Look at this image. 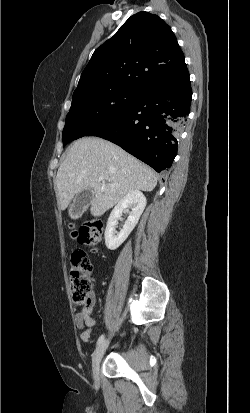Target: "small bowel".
Instances as JSON below:
<instances>
[{
    "label": "small bowel",
    "mask_w": 250,
    "mask_h": 413,
    "mask_svg": "<svg viewBox=\"0 0 250 413\" xmlns=\"http://www.w3.org/2000/svg\"><path fill=\"white\" fill-rule=\"evenodd\" d=\"M95 305V300L91 306L83 307V309L76 314V323L79 328H86L81 334L80 338L83 342H89L93 328L96 325L95 319L90 314Z\"/></svg>",
    "instance_id": "c3829d8e"
}]
</instances>
